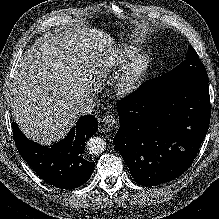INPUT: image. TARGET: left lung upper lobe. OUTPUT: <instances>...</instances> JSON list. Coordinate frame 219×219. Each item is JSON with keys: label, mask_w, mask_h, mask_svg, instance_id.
<instances>
[{"label": "left lung upper lobe", "mask_w": 219, "mask_h": 219, "mask_svg": "<svg viewBox=\"0 0 219 219\" xmlns=\"http://www.w3.org/2000/svg\"><path fill=\"white\" fill-rule=\"evenodd\" d=\"M188 81L208 82L206 69L191 45L188 47L186 59L182 63L170 72L147 81V85L150 86V91H159Z\"/></svg>", "instance_id": "left-lung-upper-lobe-1"}]
</instances>
